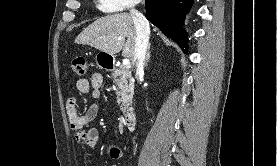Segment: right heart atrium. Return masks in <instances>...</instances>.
Returning a JSON list of instances; mask_svg holds the SVG:
<instances>
[{
	"instance_id": "obj_1",
	"label": "right heart atrium",
	"mask_w": 277,
	"mask_h": 166,
	"mask_svg": "<svg viewBox=\"0 0 277 166\" xmlns=\"http://www.w3.org/2000/svg\"><path fill=\"white\" fill-rule=\"evenodd\" d=\"M140 0H97L100 11L112 13L130 10L139 4Z\"/></svg>"
}]
</instances>
